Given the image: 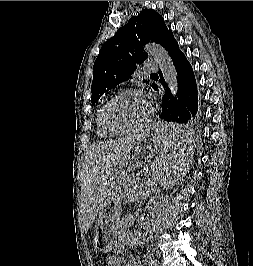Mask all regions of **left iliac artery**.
Masks as SVG:
<instances>
[{"mask_svg": "<svg viewBox=\"0 0 253 266\" xmlns=\"http://www.w3.org/2000/svg\"><path fill=\"white\" fill-rule=\"evenodd\" d=\"M154 266H159V264L156 262V260L154 261Z\"/></svg>", "mask_w": 253, "mask_h": 266, "instance_id": "1", "label": "left iliac artery"}]
</instances>
